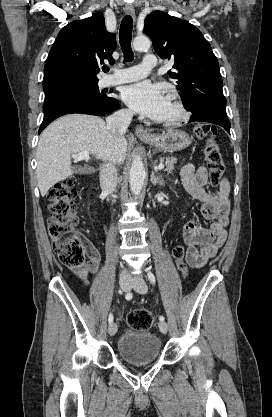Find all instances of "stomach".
I'll return each instance as SVG.
<instances>
[{
  "label": "stomach",
  "mask_w": 272,
  "mask_h": 417,
  "mask_svg": "<svg viewBox=\"0 0 272 417\" xmlns=\"http://www.w3.org/2000/svg\"><path fill=\"white\" fill-rule=\"evenodd\" d=\"M145 143L152 145L157 150L175 152L187 148L191 139L182 130L169 129L162 134L152 135L151 137H140Z\"/></svg>",
  "instance_id": "0dacf381"
}]
</instances>
